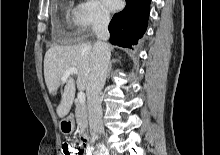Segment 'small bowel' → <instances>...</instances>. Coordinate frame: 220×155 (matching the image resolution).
<instances>
[{
    "label": "small bowel",
    "instance_id": "1",
    "mask_svg": "<svg viewBox=\"0 0 220 155\" xmlns=\"http://www.w3.org/2000/svg\"><path fill=\"white\" fill-rule=\"evenodd\" d=\"M76 144L77 145H87L88 141H87V137L86 136H77L76 137ZM65 145H74L75 141L74 140H65L64 141Z\"/></svg>",
    "mask_w": 220,
    "mask_h": 155
}]
</instances>
